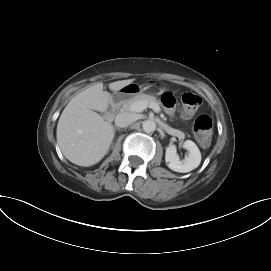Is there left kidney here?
I'll return each mask as SVG.
<instances>
[{
	"instance_id": "5707ae66",
	"label": "left kidney",
	"mask_w": 271,
	"mask_h": 271,
	"mask_svg": "<svg viewBox=\"0 0 271 271\" xmlns=\"http://www.w3.org/2000/svg\"><path fill=\"white\" fill-rule=\"evenodd\" d=\"M183 147L189 152L184 160L179 159L176 146L169 145L166 148L165 161L171 170L187 173L199 166L201 162V153L197 145L191 140H186Z\"/></svg>"
}]
</instances>
